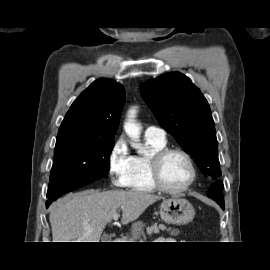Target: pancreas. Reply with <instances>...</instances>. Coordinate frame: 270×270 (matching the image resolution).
Segmentation results:
<instances>
[{
    "label": "pancreas",
    "mask_w": 270,
    "mask_h": 270,
    "mask_svg": "<svg viewBox=\"0 0 270 270\" xmlns=\"http://www.w3.org/2000/svg\"><path fill=\"white\" fill-rule=\"evenodd\" d=\"M159 230H166V226L163 225V224H159L157 225V223L151 225V227H148L147 228V233L148 235H152V233H158ZM179 231L177 229H173L171 230L170 234L173 235V236H176L178 235ZM144 239H146V237H144Z\"/></svg>",
    "instance_id": "1"
}]
</instances>
